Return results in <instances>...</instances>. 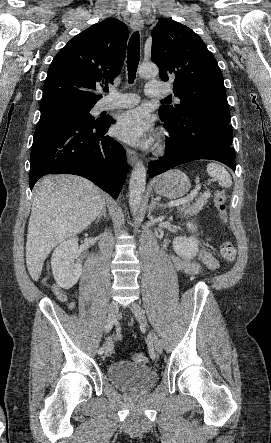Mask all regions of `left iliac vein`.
<instances>
[{"label":"left iliac vein","instance_id":"left-iliac-vein-1","mask_svg":"<svg viewBox=\"0 0 271 443\" xmlns=\"http://www.w3.org/2000/svg\"><path fill=\"white\" fill-rule=\"evenodd\" d=\"M130 309L132 311V313L134 314L136 320L143 326H147V319L145 316V311L143 310V308L138 304V303H132L130 305ZM153 340H154V345H155V349L157 351V353L161 354L163 352V346L162 343L160 341V339L153 334Z\"/></svg>","mask_w":271,"mask_h":443}]
</instances>
